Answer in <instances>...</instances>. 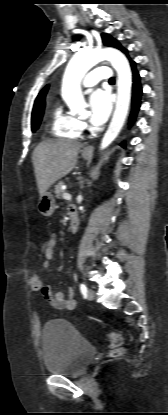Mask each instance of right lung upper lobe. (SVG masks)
Masks as SVG:
<instances>
[{
    "mask_svg": "<svg viewBox=\"0 0 168 415\" xmlns=\"http://www.w3.org/2000/svg\"><path fill=\"white\" fill-rule=\"evenodd\" d=\"M47 89H48V86L47 87H45L41 92H40V94L38 95V97H37V99L35 100V104H34V107H33V112H35V111H37V110H40V109H42V108H44V106H45V95H46V93H47ZM32 112V113H33Z\"/></svg>",
    "mask_w": 168,
    "mask_h": 415,
    "instance_id": "cb5924a9",
    "label": "right lung upper lobe"
}]
</instances>
